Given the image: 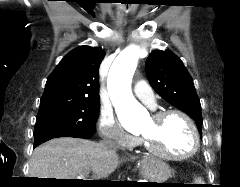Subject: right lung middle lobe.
I'll use <instances>...</instances> for the list:
<instances>
[{"label":"right lung middle lobe","instance_id":"1","mask_svg":"<svg viewBox=\"0 0 240 187\" xmlns=\"http://www.w3.org/2000/svg\"><path fill=\"white\" fill-rule=\"evenodd\" d=\"M100 101L58 102L40 105L34 137L61 131L91 137L96 129Z\"/></svg>","mask_w":240,"mask_h":187}]
</instances>
